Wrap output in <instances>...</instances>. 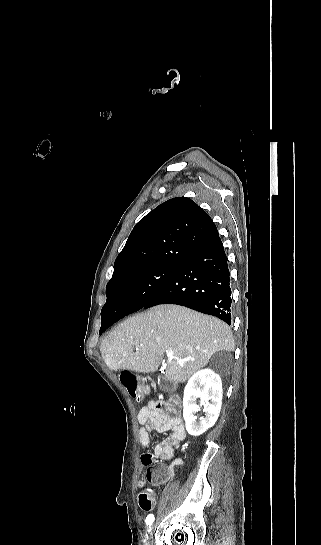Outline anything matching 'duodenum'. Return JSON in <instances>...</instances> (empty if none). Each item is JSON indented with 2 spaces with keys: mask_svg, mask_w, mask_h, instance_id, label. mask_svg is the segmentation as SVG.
<instances>
[{
  "mask_svg": "<svg viewBox=\"0 0 321 545\" xmlns=\"http://www.w3.org/2000/svg\"><path fill=\"white\" fill-rule=\"evenodd\" d=\"M160 385L166 391H172V389H173V384L168 380L160 381Z\"/></svg>",
  "mask_w": 321,
  "mask_h": 545,
  "instance_id": "1",
  "label": "duodenum"
}]
</instances>
